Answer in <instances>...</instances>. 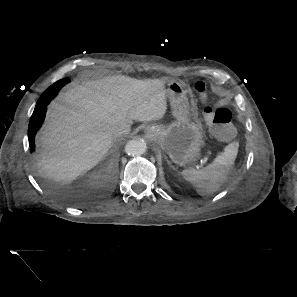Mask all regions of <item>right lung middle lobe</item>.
Returning <instances> with one entry per match:
<instances>
[{"instance_id": "right-lung-middle-lobe-1", "label": "right lung middle lobe", "mask_w": 297, "mask_h": 297, "mask_svg": "<svg viewBox=\"0 0 297 297\" xmlns=\"http://www.w3.org/2000/svg\"><path fill=\"white\" fill-rule=\"evenodd\" d=\"M70 80L65 78L62 80L57 81L53 85H51L43 94L42 97H55L57 92L63 87L66 83H68Z\"/></svg>"}]
</instances>
